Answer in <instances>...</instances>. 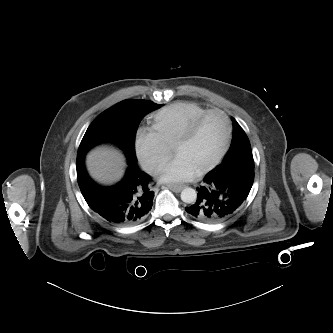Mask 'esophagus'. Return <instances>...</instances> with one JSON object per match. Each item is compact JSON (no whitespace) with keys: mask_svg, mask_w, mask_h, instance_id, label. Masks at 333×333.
I'll list each match as a JSON object with an SVG mask.
<instances>
[{"mask_svg":"<svg viewBox=\"0 0 333 333\" xmlns=\"http://www.w3.org/2000/svg\"><path fill=\"white\" fill-rule=\"evenodd\" d=\"M170 190H172L173 192H180L184 187L185 185H174V184H169L167 186Z\"/></svg>","mask_w":333,"mask_h":333,"instance_id":"obj_1","label":"esophagus"}]
</instances>
